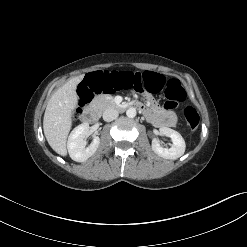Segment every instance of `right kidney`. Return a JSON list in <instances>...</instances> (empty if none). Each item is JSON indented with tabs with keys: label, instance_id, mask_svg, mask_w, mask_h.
<instances>
[{
	"label": "right kidney",
	"instance_id": "obj_1",
	"mask_svg": "<svg viewBox=\"0 0 247 247\" xmlns=\"http://www.w3.org/2000/svg\"><path fill=\"white\" fill-rule=\"evenodd\" d=\"M89 130V124H80L74 128L68 138V152L71 159L76 162L86 161L96 152L97 148L99 147L100 138L98 136H94L91 144L85 147L84 138L85 136L89 135Z\"/></svg>",
	"mask_w": 247,
	"mask_h": 247
}]
</instances>
